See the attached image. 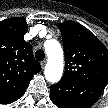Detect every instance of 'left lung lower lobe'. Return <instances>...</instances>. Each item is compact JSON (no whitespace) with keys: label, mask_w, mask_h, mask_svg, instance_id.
Segmentation results:
<instances>
[{"label":"left lung lower lobe","mask_w":108,"mask_h":108,"mask_svg":"<svg viewBox=\"0 0 108 108\" xmlns=\"http://www.w3.org/2000/svg\"><path fill=\"white\" fill-rule=\"evenodd\" d=\"M103 90L101 85L61 79L51 86L50 99L58 108H89Z\"/></svg>","instance_id":"1"}]
</instances>
